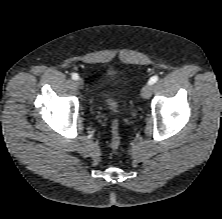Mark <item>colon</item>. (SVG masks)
Returning a JSON list of instances; mask_svg holds the SVG:
<instances>
[{
    "label": "colon",
    "instance_id": "colon-1",
    "mask_svg": "<svg viewBox=\"0 0 222 219\" xmlns=\"http://www.w3.org/2000/svg\"><path fill=\"white\" fill-rule=\"evenodd\" d=\"M110 106L112 108H116V105L114 103H110ZM120 145V135L118 131V124L115 121L112 126V132H111V147L113 149H117Z\"/></svg>",
    "mask_w": 222,
    "mask_h": 219
}]
</instances>
